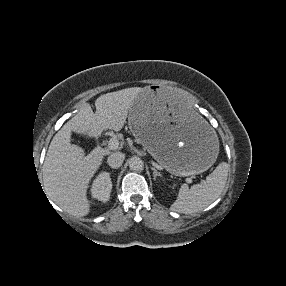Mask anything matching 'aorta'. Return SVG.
<instances>
[{
	"label": "aorta",
	"instance_id": "aorta-1",
	"mask_svg": "<svg viewBox=\"0 0 286 286\" xmlns=\"http://www.w3.org/2000/svg\"><path fill=\"white\" fill-rule=\"evenodd\" d=\"M128 164L132 171L141 172L144 169V163L139 157L130 158Z\"/></svg>",
	"mask_w": 286,
	"mask_h": 286
}]
</instances>
